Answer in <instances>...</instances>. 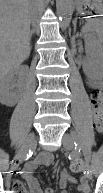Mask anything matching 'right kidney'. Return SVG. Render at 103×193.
I'll list each match as a JSON object with an SVG mask.
<instances>
[{"instance_id": "ca27d5eb", "label": "right kidney", "mask_w": 103, "mask_h": 193, "mask_svg": "<svg viewBox=\"0 0 103 193\" xmlns=\"http://www.w3.org/2000/svg\"><path fill=\"white\" fill-rule=\"evenodd\" d=\"M27 67H18L7 74L0 76V102L6 106H14L18 102V91H14L15 88L20 89L22 86L21 79L16 81L15 75H21L27 72Z\"/></svg>"}]
</instances>
